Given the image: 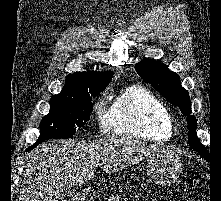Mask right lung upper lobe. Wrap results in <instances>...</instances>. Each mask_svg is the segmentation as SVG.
Returning a JSON list of instances; mask_svg holds the SVG:
<instances>
[{"mask_svg": "<svg viewBox=\"0 0 221 201\" xmlns=\"http://www.w3.org/2000/svg\"><path fill=\"white\" fill-rule=\"evenodd\" d=\"M113 77V72H76L68 75L65 85L58 95L81 97L103 91Z\"/></svg>", "mask_w": 221, "mask_h": 201, "instance_id": "obj_1", "label": "right lung upper lobe"}]
</instances>
